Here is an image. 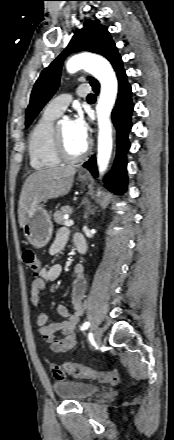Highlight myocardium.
I'll return each mask as SVG.
<instances>
[{"label":"myocardium","mask_w":174,"mask_h":440,"mask_svg":"<svg viewBox=\"0 0 174 440\" xmlns=\"http://www.w3.org/2000/svg\"><path fill=\"white\" fill-rule=\"evenodd\" d=\"M90 150V143H86L84 149L81 153L77 155H72L68 152L64 137L59 127L55 128V151L58 157L65 162H77L84 158Z\"/></svg>","instance_id":"myocardium-1"}]
</instances>
